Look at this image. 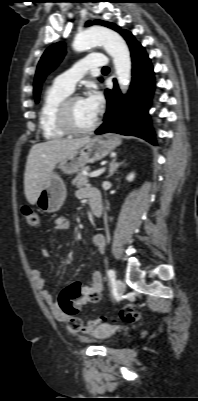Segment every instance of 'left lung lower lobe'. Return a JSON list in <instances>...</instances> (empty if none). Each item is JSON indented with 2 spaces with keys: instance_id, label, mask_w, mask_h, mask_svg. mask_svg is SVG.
Masks as SVG:
<instances>
[{
  "instance_id": "0a47b994",
  "label": "left lung lower lobe",
  "mask_w": 198,
  "mask_h": 401,
  "mask_svg": "<svg viewBox=\"0 0 198 401\" xmlns=\"http://www.w3.org/2000/svg\"><path fill=\"white\" fill-rule=\"evenodd\" d=\"M128 43L132 57V82L126 97H123L114 80L113 90L107 89V112L103 124L96 134L107 132L141 137L155 143L150 128L147 109L153 92V67L144 48L128 32L124 37Z\"/></svg>"
}]
</instances>
